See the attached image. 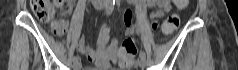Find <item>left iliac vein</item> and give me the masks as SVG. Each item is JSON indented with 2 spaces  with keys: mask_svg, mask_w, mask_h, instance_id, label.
<instances>
[{
  "mask_svg": "<svg viewBox=\"0 0 238 70\" xmlns=\"http://www.w3.org/2000/svg\"><path fill=\"white\" fill-rule=\"evenodd\" d=\"M138 65L140 66V68H144L145 65H146V61L144 58H140L139 62H138Z\"/></svg>",
  "mask_w": 238,
  "mask_h": 70,
  "instance_id": "left-iliac-vein-1",
  "label": "left iliac vein"
}]
</instances>
